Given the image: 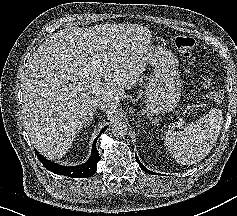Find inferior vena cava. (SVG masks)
Wrapping results in <instances>:
<instances>
[{
	"instance_id": "602c4592",
	"label": "inferior vena cava",
	"mask_w": 237,
	"mask_h": 216,
	"mask_svg": "<svg viewBox=\"0 0 237 216\" xmlns=\"http://www.w3.org/2000/svg\"><path fill=\"white\" fill-rule=\"evenodd\" d=\"M92 107H93V110H96V109L103 110V111L111 110L112 112H114L115 109L117 108V105L114 103H111L107 99H101V100H96L93 103Z\"/></svg>"
}]
</instances>
